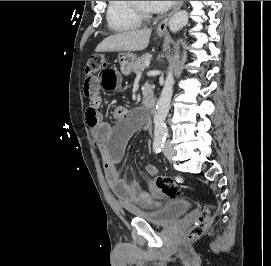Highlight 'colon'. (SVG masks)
<instances>
[{
    "label": "colon",
    "mask_w": 271,
    "mask_h": 266,
    "mask_svg": "<svg viewBox=\"0 0 271 266\" xmlns=\"http://www.w3.org/2000/svg\"><path fill=\"white\" fill-rule=\"evenodd\" d=\"M107 64V61L102 55H93L89 58L86 65V74L94 75L102 67ZM153 186L155 189L170 198H176L181 195V188L169 177L157 175L154 177ZM211 224V211L209 208L203 210L195 223V225L188 232V239H196L203 235Z\"/></svg>",
    "instance_id": "5ec220e1"
}]
</instances>
